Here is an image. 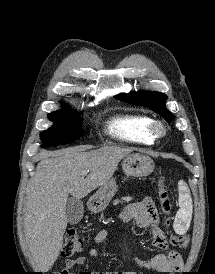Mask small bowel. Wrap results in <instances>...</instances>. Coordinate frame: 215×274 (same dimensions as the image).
I'll list each match as a JSON object with an SVG mask.
<instances>
[{"label":"small bowel","mask_w":215,"mask_h":274,"mask_svg":"<svg viewBox=\"0 0 215 274\" xmlns=\"http://www.w3.org/2000/svg\"><path fill=\"white\" fill-rule=\"evenodd\" d=\"M121 222L127 223L134 221L141 228H151L153 235V244L156 248L163 250L165 253L157 254L147 260L135 259L136 263L147 270H152L158 274H169L172 272L180 271L183 268L182 256L169 246L165 233L159 226V216L149 198L144 199L142 202L134 203L128 206L121 214ZM108 237V231L103 229L99 231L94 239L93 244H101ZM90 257L96 258L99 251L96 247H91L88 250ZM86 258L79 256L74 259H68L65 262V268L60 274H73L71 269L75 266H80L85 263ZM78 274H136L133 271H120L115 273H100L84 270Z\"/></svg>","instance_id":"small-bowel-1"}]
</instances>
